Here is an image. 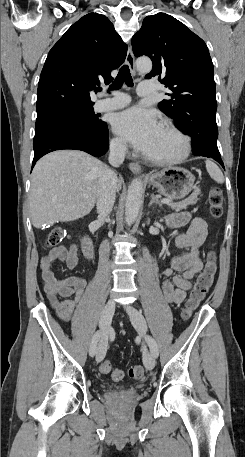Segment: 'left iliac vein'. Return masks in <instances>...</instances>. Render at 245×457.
Instances as JSON below:
<instances>
[{
	"mask_svg": "<svg viewBox=\"0 0 245 457\" xmlns=\"http://www.w3.org/2000/svg\"><path fill=\"white\" fill-rule=\"evenodd\" d=\"M126 312L130 316V320L134 328L142 335L145 336L147 331V323L144 316L132 305L125 307ZM143 362L147 370H152L155 366V356L146 348L143 350Z\"/></svg>",
	"mask_w": 245,
	"mask_h": 457,
	"instance_id": "left-iliac-vein-1",
	"label": "left iliac vein"
}]
</instances>
